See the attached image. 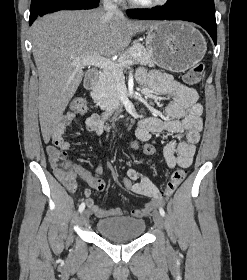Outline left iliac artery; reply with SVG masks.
<instances>
[{"instance_id":"left-iliac-artery-1","label":"left iliac artery","mask_w":247,"mask_h":280,"mask_svg":"<svg viewBox=\"0 0 247 280\" xmlns=\"http://www.w3.org/2000/svg\"><path fill=\"white\" fill-rule=\"evenodd\" d=\"M159 212L163 217L165 216V211L162 207L159 208Z\"/></svg>"}]
</instances>
